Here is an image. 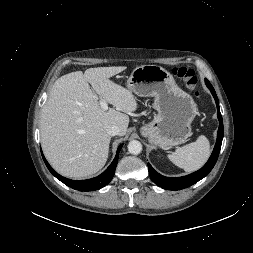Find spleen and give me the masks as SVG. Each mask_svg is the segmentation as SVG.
Segmentation results:
<instances>
[{
    "label": "spleen",
    "instance_id": "obj_1",
    "mask_svg": "<svg viewBox=\"0 0 253 253\" xmlns=\"http://www.w3.org/2000/svg\"><path fill=\"white\" fill-rule=\"evenodd\" d=\"M210 156L208 139L201 135L195 142L176 149L168 155L169 160L186 172H193L201 168Z\"/></svg>",
    "mask_w": 253,
    "mask_h": 253
}]
</instances>
